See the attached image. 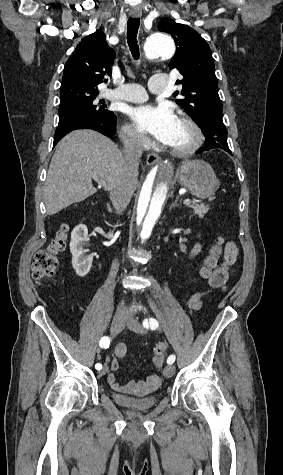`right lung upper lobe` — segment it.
I'll list each match as a JSON object with an SVG mask.
<instances>
[{
    "label": "right lung upper lobe",
    "mask_w": 283,
    "mask_h": 475,
    "mask_svg": "<svg viewBox=\"0 0 283 475\" xmlns=\"http://www.w3.org/2000/svg\"><path fill=\"white\" fill-rule=\"evenodd\" d=\"M114 58L102 30L86 36L66 62L61 92L98 93V84L111 75Z\"/></svg>",
    "instance_id": "1"
}]
</instances>
